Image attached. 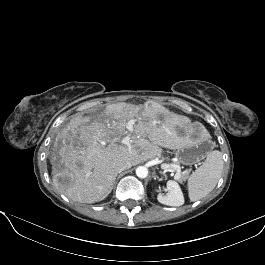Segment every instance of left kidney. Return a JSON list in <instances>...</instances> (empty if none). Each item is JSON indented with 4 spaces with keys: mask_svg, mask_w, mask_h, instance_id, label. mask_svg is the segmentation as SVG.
Here are the masks:
<instances>
[{
    "mask_svg": "<svg viewBox=\"0 0 265 265\" xmlns=\"http://www.w3.org/2000/svg\"><path fill=\"white\" fill-rule=\"evenodd\" d=\"M167 195L158 193L157 199L161 204L168 206H181L184 204V196L179 184L176 181H167Z\"/></svg>",
    "mask_w": 265,
    "mask_h": 265,
    "instance_id": "left-kidney-1",
    "label": "left kidney"
}]
</instances>
